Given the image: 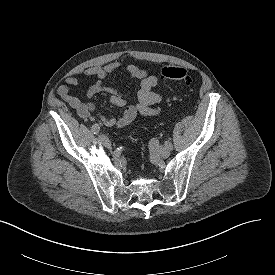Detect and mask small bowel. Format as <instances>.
Returning a JSON list of instances; mask_svg holds the SVG:
<instances>
[{
	"mask_svg": "<svg viewBox=\"0 0 275 275\" xmlns=\"http://www.w3.org/2000/svg\"><path fill=\"white\" fill-rule=\"evenodd\" d=\"M121 66L122 63L116 60L105 65L92 66L79 72V75L96 78V82L88 88L86 98L89 100L97 94L108 92L111 104L117 108L124 109L119 117H106L98 113L94 104L90 101L83 102L71 95L70 86H77L80 82L77 77H66L64 80L65 84L58 87L57 94L76 110L81 119L94 122L100 126L123 128L130 125L138 115L145 117L158 115L161 112L163 95L153 90L159 82L157 76L136 65L125 67V72L133 79L139 81L137 102L132 105L128 104L126 96L104 82L107 77L114 74Z\"/></svg>",
	"mask_w": 275,
	"mask_h": 275,
	"instance_id": "c3829d8e",
	"label": "small bowel"
}]
</instances>
